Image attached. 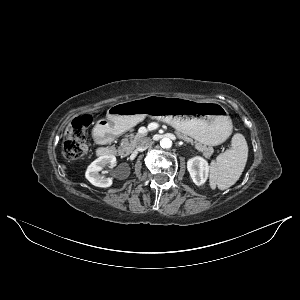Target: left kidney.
I'll list each match as a JSON object with an SVG mask.
<instances>
[{
  "instance_id": "obj_1",
  "label": "left kidney",
  "mask_w": 300,
  "mask_h": 300,
  "mask_svg": "<svg viewBox=\"0 0 300 300\" xmlns=\"http://www.w3.org/2000/svg\"><path fill=\"white\" fill-rule=\"evenodd\" d=\"M187 169L196 185L200 186L206 182L209 174V164L204 158L196 156L189 159Z\"/></svg>"
}]
</instances>
